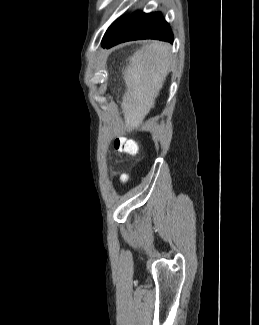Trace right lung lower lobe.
<instances>
[{
    "instance_id": "obj_1",
    "label": "right lung lower lobe",
    "mask_w": 259,
    "mask_h": 325,
    "mask_svg": "<svg viewBox=\"0 0 259 325\" xmlns=\"http://www.w3.org/2000/svg\"><path fill=\"white\" fill-rule=\"evenodd\" d=\"M139 39L172 42L173 33L160 12H136L129 18L124 17L114 33L102 42V46L110 48L125 41Z\"/></svg>"
}]
</instances>
